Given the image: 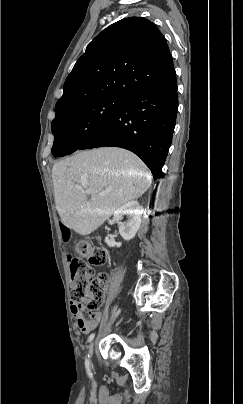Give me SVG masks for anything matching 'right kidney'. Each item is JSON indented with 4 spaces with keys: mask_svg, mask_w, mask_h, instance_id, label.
<instances>
[{
    "mask_svg": "<svg viewBox=\"0 0 243 404\" xmlns=\"http://www.w3.org/2000/svg\"><path fill=\"white\" fill-rule=\"evenodd\" d=\"M143 212V206H140L138 202H128V204H124V206H121V208H118L114 212V218L118 222L119 234H121L124 240H132L135 234H137ZM123 216H127V222H120V220H123ZM105 242L109 248H114V246L120 248L121 246V242H113L109 238H105Z\"/></svg>",
    "mask_w": 243,
    "mask_h": 404,
    "instance_id": "right-kidney-1",
    "label": "right kidney"
}]
</instances>
